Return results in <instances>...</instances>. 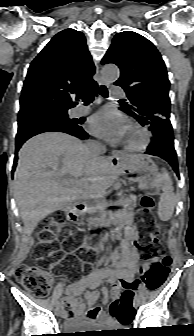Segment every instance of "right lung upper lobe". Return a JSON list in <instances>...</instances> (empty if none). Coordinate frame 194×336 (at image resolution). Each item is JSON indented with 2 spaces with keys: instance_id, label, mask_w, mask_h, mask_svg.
<instances>
[{
  "instance_id": "right-lung-upper-lobe-1",
  "label": "right lung upper lobe",
  "mask_w": 194,
  "mask_h": 336,
  "mask_svg": "<svg viewBox=\"0 0 194 336\" xmlns=\"http://www.w3.org/2000/svg\"><path fill=\"white\" fill-rule=\"evenodd\" d=\"M95 66L84 35L74 29L56 34L31 62L22 88L20 113L75 105L74 95L92 90Z\"/></svg>"
}]
</instances>
